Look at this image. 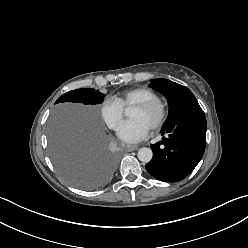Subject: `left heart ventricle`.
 Here are the masks:
<instances>
[{"mask_svg":"<svg viewBox=\"0 0 248 248\" xmlns=\"http://www.w3.org/2000/svg\"><path fill=\"white\" fill-rule=\"evenodd\" d=\"M157 111L155 109L149 111H142L136 108H131L129 111L130 119H140L142 120L148 127L156 118Z\"/></svg>","mask_w":248,"mask_h":248,"instance_id":"obj_1","label":"left heart ventricle"}]
</instances>
